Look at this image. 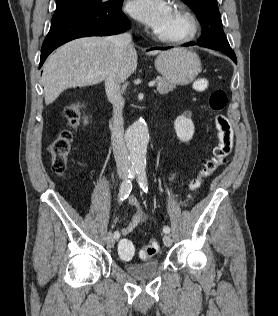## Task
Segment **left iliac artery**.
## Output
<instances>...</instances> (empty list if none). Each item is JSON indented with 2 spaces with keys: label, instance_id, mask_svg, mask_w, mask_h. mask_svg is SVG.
I'll return each instance as SVG.
<instances>
[{
  "label": "left iliac artery",
  "instance_id": "left-iliac-artery-1",
  "mask_svg": "<svg viewBox=\"0 0 278 316\" xmlns=\"http://www.w3.org/2000/svg\"><path fill=\"white\" fill-rule=\"evenodd\" d=\"M137 181L140 186V188L147 193L148 192V181L146 177V171L144 167H140L137 170ZM163 232L166 234L170 233V228L169 226H164L163 227Z\"/></svg>",
  "mask_w": 278,
  "mask_h": 316
}]
</instances>
